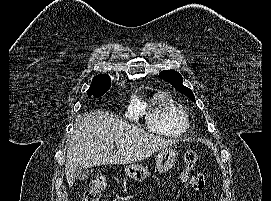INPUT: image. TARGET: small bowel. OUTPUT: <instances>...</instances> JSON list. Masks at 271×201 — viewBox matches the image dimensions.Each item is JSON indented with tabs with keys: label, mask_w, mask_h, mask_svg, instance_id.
I'll return each mask as SVG.
<instances>
[{
	"label": "small bowel",
	"mask_w": 271,
	"mask_h": 201,
	"mask_svg": "<svg viewBox=\"0 0 271 201\" xmlns=\"http://www.w3.org/2000/svg\"><path fill=\"white\" fill-rule=\"evenodd\" d=\"M205 177L203 174H196L191 178L190 184L194 190L200 191L205 187Z\"/></svg>",
	"instance_id": "small-bowel-1"
}]
</instances>
